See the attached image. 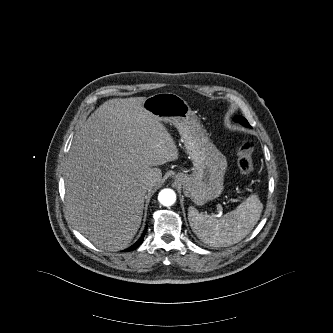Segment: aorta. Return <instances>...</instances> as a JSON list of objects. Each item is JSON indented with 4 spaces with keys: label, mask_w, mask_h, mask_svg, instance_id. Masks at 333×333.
I'll return each mask as SVG.
<instances>
[{
    "label": "aorta",
    "mask_w": 333,
    "mask_h": 333,
    "mask_svg": "<svg viewBox=\"0 0 333 333\" xmlns=\"http://www.w3.org/2000/svg\"><path fill=\"white\" fill-rule=\"evenodd\" d=\"M158 200L163 206H171L176 201V194L172 189H163L159 192Z\"/></svg>",
    "instance_id": "1"
}]
</instances>
